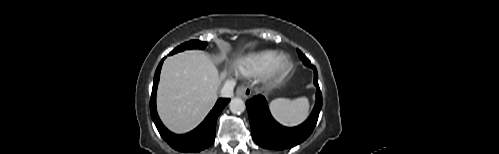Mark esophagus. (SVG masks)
Returning a JSON list of instances; mask_svg holds the SVG:
<instances>
[{
  "mask_svg": "<svg viewBox=\"0 0 499 154\" xmlns=\"http://www.w3.org/2000/svg\"><path fill=\"white\" fill-rule=\"evenodd\" d=\"M236 95L241 98H248L251 95V91L247 86L241 85L236 89Z\"/></svg>",
  "mask_w": 499,
  "mask_h": 154,
  "instance_id": "1",
  "label": "esophagus"
}]
</instances>
